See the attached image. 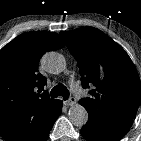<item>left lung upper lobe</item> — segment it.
<instances>
[{"label": "left lung upper lobe", "mask_w": 141, "mask_h": 141, "mask_svg": "<svg viewBox=\"0 0 141 141\" xmlns=\"http://www.w3.org/2000/svg\"><path fill=\"white\" fill-rule=\"evenodd\" d=\"M60 34L78 62L82 86H95L80 104L91 114L133 120L140 103V79L125 50L93 27Z\"/></svg>", "instance_id": "1"}]
</instances>
